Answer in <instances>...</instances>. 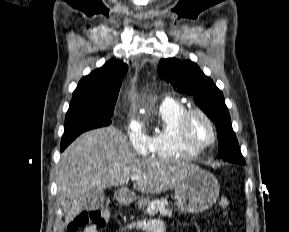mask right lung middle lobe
I'll list each match as a JSON object with an SVG mask.
<instances>
[{
    "label": "right lung middle lobe",
    "mask_w": 289,
    "mask_h": 232,
    "mask_svg": "<svg viewBox=\"0 0 289 232\" xmlns=\"http://www.w3.org/2000/svg\"><path fill=\"white\" fill-rule=\"evenodd\" d=\"M116 100L117 96L72 99L65 118L61 149L87 130L110 125Z\"/></svg>",
    "instance_id": "dd1d6c3e"
}]
</instances>
